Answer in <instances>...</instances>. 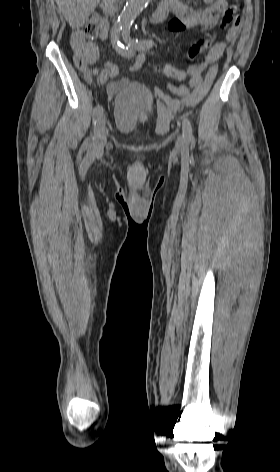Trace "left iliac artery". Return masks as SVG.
<instances>
[{"label": "left iliac artery", "instance_id": "44dca946", "mask_svg": "<svg viewBox=\"0 0 280 472\" xmlns=\"http://www.w3.org/2000/svg\"><path fill=\"white\" fill-rule=\"evenodd\" d=\"M122 36L128 46L137 50H148L153 46L152 40H139V39H132L130 37V25L123 27L122 29ZM182 129H183V138L186 141H192L194 139L192 125L188 118L183 117L182 121Z\"/></svg>", "mask_w": 280, "mask_h": 472}]
</instances>
